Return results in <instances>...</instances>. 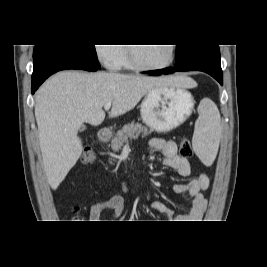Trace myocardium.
I'll return each instance as SVG.
<instances>
[{"label": "myocardium", "mask_w": 267, "mask_h": 267, "mask_svg": "<svg viewBox=\"0 0 267 267\" xmlns=\"http://www.w3.org/2000/svg\"><path fill=\"white\" fill-rule=\"evenodd\" d=\"M170 47V58L168 59V61L162 65H157V66H150V65H145L143 63H141L140 61H138V59L136 58L133 46H127V59L128 62L130 63V65L138 70H142V71H158V70H162L165 69L167 67H169L174 59H175V46L173 44H168Z\"/></svg>", "instance_id": "f54148a6"}]
</instances>
